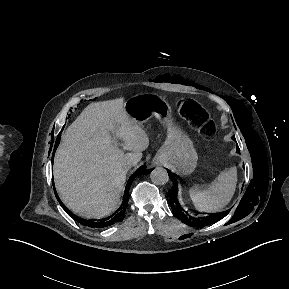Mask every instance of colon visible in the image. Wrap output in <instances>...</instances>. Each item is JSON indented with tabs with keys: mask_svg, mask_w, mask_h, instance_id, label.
Returning a JSON list of instances; mask_svg holds the SVG:
<instances>
[{
	"mask_svg": "<svg viewBox=\"0 0 289 289\" xmlns=\"http://www.w3.org/2000/svg\"><path fill=\"white\" fill-rule=\"evenodd\" d=\"M179 108L185 113V115L199 123L207 132L209 131L208 120L204 110L193 100L183 99L179 101Z\"/></svg>",
	"mask_w": 289,
	"mask_h": 289,
	"instance_id": "5ec220e1",
	"label": "colon"
}]
</instances>
